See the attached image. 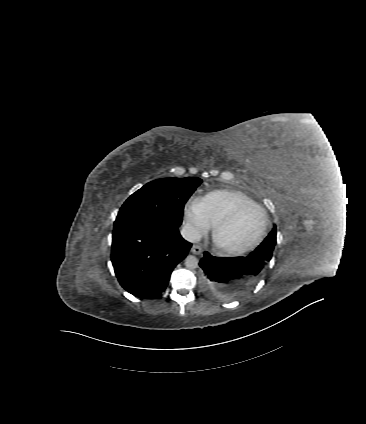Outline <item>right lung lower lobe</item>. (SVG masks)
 <instances>
[{
    "label": "right lung lower lobe",
    "mask_w": 366,
    "mask_h": 424,
    "mask_svg": "<svg viewBox=\"0 0 366 424\" xmlns=\"http://www.w3.org/2000/svg\"><path fill=\"white\" fill-rule=\"evenodd\" d=\"M192 244L178 228L158 218L114 223L111 261L120 285L139 298H151L166 288L174 267Z\"/></svg>",
    "instance_id": "1"
}]
</instances>
